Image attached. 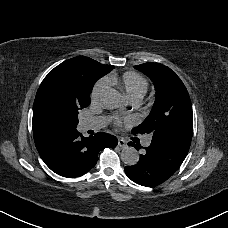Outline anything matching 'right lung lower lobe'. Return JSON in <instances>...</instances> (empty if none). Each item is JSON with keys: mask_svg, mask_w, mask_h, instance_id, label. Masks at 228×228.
Wrapping results in <instances>:
<instances>
[{"mask_svg": "<svg viewBox=\"0 0 228 228\" xmlns=\"http://www.w3.org/2000/svg\"><path fill=\"white\" fill-rule=\"evenodd\" d=\"M36 148L45 164L56 174L74 178L91 170L98 153L105 147L115 148V136L99 132L83 137L76 129L46 131L35 134Z\"/></svg>", "mask_w": 228, "mask_h": 228, "instance_id": "98d812e1", "label": "right lung lower lobe"}]
</instances>
